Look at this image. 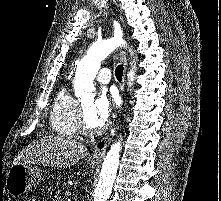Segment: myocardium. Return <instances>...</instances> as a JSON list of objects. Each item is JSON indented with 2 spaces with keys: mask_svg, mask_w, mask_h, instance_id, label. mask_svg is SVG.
Here are the masks:
<instances>
[{
  "mask_svg": "<svg viewBox=\"0 0 221 201\" xmlns=\"http://www.w3.org/2000/svg\"><path fill=\"white\" fill-rule=\"evenodd\" d=\"M78 128L81 133H83L85 135L93 136V135L101 134L106 129V124H103L97 128L91 127L86 120L85 112H84L82 105H79V107H78Z\"/></svg>",
  "mask_w": 221,
  "mask_h": 201,
  "instance_id": "1",
  "label": "myocardium"
}]
</instances>
